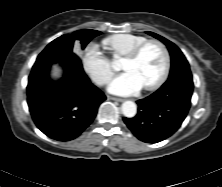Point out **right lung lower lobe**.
Segmentation results:
<instances>
[{"label":"right lung lower lobe","instance_id":"obj_1","mask_svg":"<svg viewBox=\"0 0 222 187\" xmlns=\"http://www.w3.org/2000/svg\"><path fill=\"white\" fill-rule=\"evenodd\" d=\"M58 61L64 77L49 78L51 65ZM27 102L36 126L48 137L69 141L78 137L94 120L103 92L86 76L74 53L44 49L38 56L27 86Z\"/></svg>","mask_w":222,"mask_h":187}]
</instances>
